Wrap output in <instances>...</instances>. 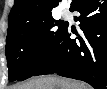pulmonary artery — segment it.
<instances>
[{
	"label": "pulmonary artery",
	"instance_id": "e3ab8cb5",
	"mask_svg": "<svg viewBox=\"0 0 107 89\" xmlns=\"http://www.w3.org/2000/svg\"><path fill=\"white\" fill-rule=\"evenodd\" d=\"M62 15L64 17H68L69 16V11L67 9L63 10Z\"/></svg>",
	"mask_w": 107,
	"mask_h": 89
}]
</instances>
